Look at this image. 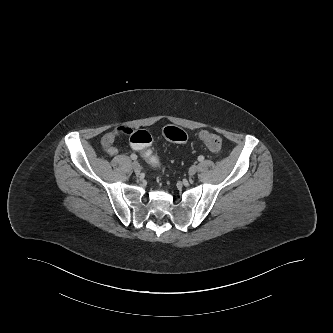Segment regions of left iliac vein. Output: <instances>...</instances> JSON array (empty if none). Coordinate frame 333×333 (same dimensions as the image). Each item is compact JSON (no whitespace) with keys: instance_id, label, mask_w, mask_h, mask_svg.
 <instances>
[{"instance_id":"obj_1","label":"left iliac vein","mask_w":333,"mask_h":333,"mask_svg":"<svg viewBox=\"0 0 333 333\" xmlns=\"http://www.w3.org/2000/svg\"><path fill=\"white\" fill-rule=\"evenodd\" d=\"M197 170H198V167L196 165L191 166L190 169H189V175L190 176L195 175Z\"/></svg>"}]
</instances>
